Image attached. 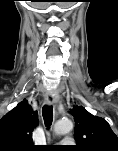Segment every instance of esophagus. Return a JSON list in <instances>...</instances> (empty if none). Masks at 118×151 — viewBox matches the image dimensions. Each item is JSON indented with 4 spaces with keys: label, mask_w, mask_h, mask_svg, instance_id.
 I'll use <instances>...</instances> for the list:
<instances>
[{
    "label": "esophagus",
    "mask_w": 118,
    "mask_h": 151,
    "mask_svg": "<svg viewBox=\"0 0 118 151\" xmlns=\"http://www.w3.org/2000/svg\"><path fill=\"white\" fill-rule=\"evenodd\" d=\"M57 100V96L56 93L54 91H49L47 92L46 96H45V103L47 105H52L56 102Z\"/></svg>",
    "instance_id": "34e87169"
}]
</instances>
